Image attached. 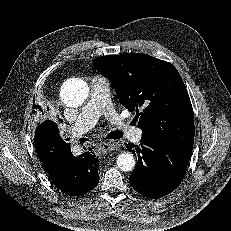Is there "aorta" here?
Here are the masks:
<instances>
[{"instance_id": "aorta-1", "label": "aorta", "mask_w": 231, "mask_h": 231, "mask_svg": "<svg viewBox=\"0 0 231 231\" xmlns=\"http://www.w3.org/2000/svg\"><path fill=\"white\" fill-rule=\"evenodd\" d=\"M60 97L62 102L68 107H78L82 105L88 97L87 84L78 78L65 81L61 87ZM117 166L121 171H132L136 165L133 154L123 152L117 157Z\"/></svg>"}]
</instances>
